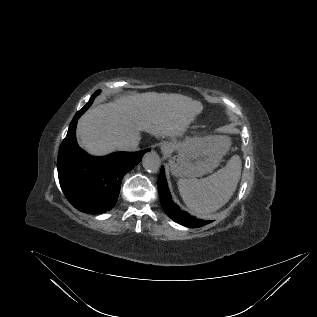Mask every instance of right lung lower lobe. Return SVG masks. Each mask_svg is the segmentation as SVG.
Here are the masks:
<instances>
[{"mask_svg":"<svg viewBox=\"0 0 317 317\" xmlns=\"http://www.w3.org/2000/svg\"><path fill=\"white\" fill-rule=\"evenodd\" d=\"M83 113H76L59 148L58 177L66 198L76 209L102 213L114 207L124 175L148 150L116 152L104 157L88 155L78 146L75 135L77 120Z\"/></svg>","mask_w":317,"mask_h":317,"instance_id":"98d812e1","label":"right lung lower lobe"}]
</instances>
